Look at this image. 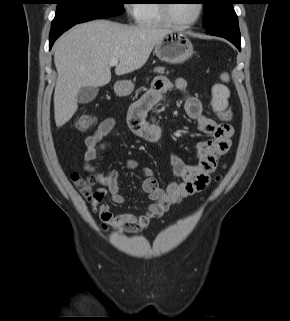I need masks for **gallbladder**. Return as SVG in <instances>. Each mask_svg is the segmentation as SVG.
Wrapping results in <instances>:
<instances>
[{"mask_svg": "<svg viewBox=\"0 0 290 321\" xmlns=\"http://www.w3.org/2000/svg\"><path fill=\"white\" fill-rule=\"evenodd\" d=\"M98 92L99 89L97 87H82L77 94V101L82 104L89 103L96 98Z\"/></svg>", "mask_w": 290, "mask_h": 321, "instance_id": "gallbladder-1", "label": "gallbladder"}]
</instances>
